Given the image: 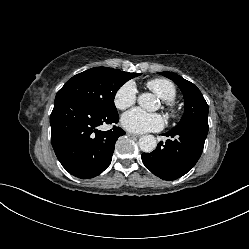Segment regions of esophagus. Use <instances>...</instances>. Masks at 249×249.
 Masks as SVG:
<instances>
[{"instance_id":"1","label":"esophagus","mask_w":249,"mask_h":249,"mask_svg":"<svg viewBox=\"0 0 249 249\" xmlns=\"http://www.w3.org/2000/svg\"><path fill=\"white\" fill-rule=\"evenodd\" d=\"M127 134L132 137H140V135L131 132H128Z\"/></svg>"}]
</instances>
